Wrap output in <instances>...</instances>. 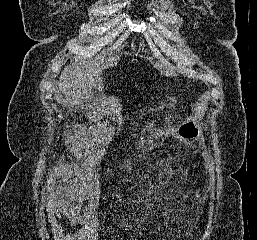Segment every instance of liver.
Here are the masks:
<instances>
[{"mask_svg": "<svg viewBox=\"0 0 257 240\" xmlns=\"http://www.w3.org/2000/svg\"><path fill=\"white\" fill-rule=\"evenodd\" d=\"M73 63L62 71L57 91L62 93L67 104L81 100L92 87L103 88L101 64Z\"/></svg>", "mask_w": 257, "mask_h": 240, "instance_id": "liver-1", "label": "liver"}]
</instances>
